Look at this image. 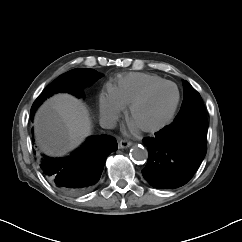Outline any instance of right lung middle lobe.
Wrapping results in <instances>:
<instances>
[{"label":"right lung middle lobe","mask_w":242,"mask_h":242,"mask_svg":"<svg viewBox=\"0 0 242 242\" xmlns=\"http://www.w3.org/2000/svg\"><path fill=\"white\" fill-rule=\"evenodd\" d=\"M102 76L103 74L87 68H79L66 72L45 88V91L35 100L31 111L35 112L47 98L58 92L71 93L80 98L82 90L86 86L92 85Z\"/></svg>","instance_id":"right-lung-middle-lobe-1"}]
</instances>
